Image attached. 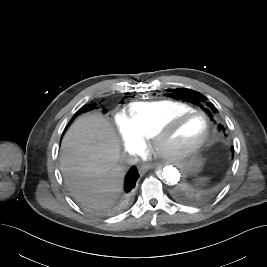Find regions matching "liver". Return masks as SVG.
Listing matches in <instances>:
<instances>
[{"instance_id": "6515ba94", "label": "liver", "mask_w": 267, "mask_h": 267, "mask_svg": "<svg viewBox=\"0 0 267 267\" xmlns=\"http://www.w3.org/2000/svg\"><path fill=\"white\" fill-rule=\"evenodd\" d=\"M122 163L119 139L99 113L80 116L62 140L64 183L87 206L103 208L114 202L123 188Z\"/></svg>"}]
</instances>
